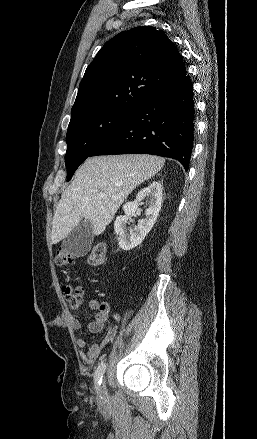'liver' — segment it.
<instances>
[{
	"label": "liver",
	"instance_id": "obj_1",
	"mask_svg": "<svg viewBox=\"0 0 257 439\" xmlns=\"http://www.w3.org/2000/svg\"><path fill=\"white\" fill-rule=\"evenodd\" d=\"M164 162L147 154L88 158L62 193L52 222V244L65 239L81 222H89L94 235L102 234L128 195ZM99 194L106 197L99 198Z\"/></svg>",
	"mask_w": 257,
	"mask_h": 439
}]
</instances>
